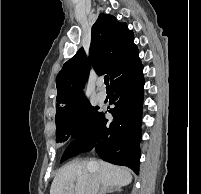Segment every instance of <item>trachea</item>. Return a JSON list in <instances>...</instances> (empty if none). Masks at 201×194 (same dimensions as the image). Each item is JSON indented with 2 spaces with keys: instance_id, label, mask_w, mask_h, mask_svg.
Masks as SVG:
<instances>
[{
  "instance_id": "3493384b",
  "label": "trachea",
  "mask_w": 201,
  "mask_h": 194,
  "mask_svg": "<svg viewBox=\"0 0 201 194\" xmlns=\"http://www.w3.org/2000/svg\"><path fill=\"white\" fill-rule=\"evenodd\" d=\"M104 81H105L106 88H110L109 87V76H105Z\"/></svg>"
}]
</instances>
